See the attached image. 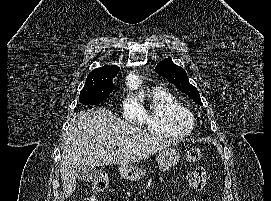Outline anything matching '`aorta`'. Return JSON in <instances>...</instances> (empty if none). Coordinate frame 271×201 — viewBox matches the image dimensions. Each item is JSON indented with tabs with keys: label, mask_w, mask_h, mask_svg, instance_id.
<instances>
[{
	"label": "aorta",
	"mask_w": 271,
	"mask_h": 201,
	"mask_svg": "<svg viewBox=\"0 0 271 201\" xmlns=\"http://www.w3.org/2000/svg\"><path fill=\"white\" fill-rule=\"evenodd\" d=\"M132 88H137V84L136 83H132Z\"/></svg>",
	"instance_id": "obj_1"
}]
</instances>
